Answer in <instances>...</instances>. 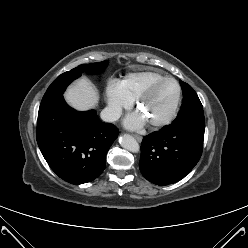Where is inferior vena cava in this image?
Segmentation results:
<instances>
[{
	"label": "inferior vena cava",
	"mask_w": 248,
	"mask_h": 248,
	"mask_svg": "<svg viewBox=\"0 0 248 248\" xmlns=\"http://www.w3.org/2000/svg\"><path fill=\"white\" fill-rule=\"evenodd\" d=\"M101 118L106 122H114L121 116V111L113 107H106L101 111Z\"/></svg>",
	"instance_id": "1"
}]
</instances>
